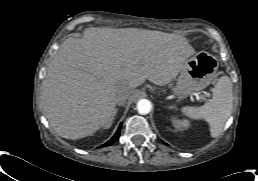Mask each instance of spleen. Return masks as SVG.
Instances as JSON below:
<instances>
[{"instance_id":"3e777b00","label":"spleen","mask_w":258,"mask_h":181,"mask_svg":"<svg viewBox=\"0 0 258 181\" xmlns=\"http://www.w3.org/2000/svg\"><path fill=\"white\" fill-rule=\"evenodd\" d=\"M233 109L232 82L228 76H222L213 90V98L201 107H183L181 112L194 120H205L210 127L212 137L222 132Z\"/></svg>"}]
</instances>
